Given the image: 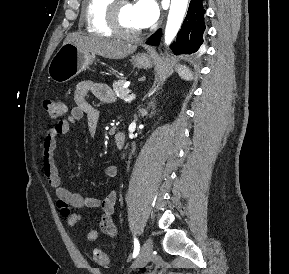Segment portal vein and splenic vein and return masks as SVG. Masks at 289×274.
Masks as SVG:
<instances>
[{
	"instance_id": "1",
	"label": "portal vein and splenic vein",
	"mask_w": 289,
	"mask_h": 274,
	"mask_svg": "<svg viewBox=\"0 0 289 274\" xmlns=\"http://www.w3.org/2000/svg\"><path fill=\"white\" fill-rule=\"evenodd\" d=\"M133 99H135V95H127L126 97L123 98L125 102H131Z\"/></svg>"
}]
</instances>
